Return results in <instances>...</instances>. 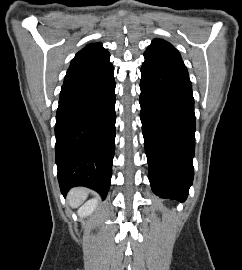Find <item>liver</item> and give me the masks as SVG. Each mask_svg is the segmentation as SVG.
<instances>
[{
  "instance_id": "6515ba94",
  "label": "liver",
  "mask_w": 242,
  "mask_h": 270,
  "mask_svg": "<svg viewBox=\"0 0 242 270\" xmlns=\"http://www.w3.org/2000/svg\"><path fill=\"white\" fill-rule=\"evenodd\" d=\"M88 196V191L84 188H74L68 194V201L71 207H78Z\"/></svg>"
}]
</instances>
